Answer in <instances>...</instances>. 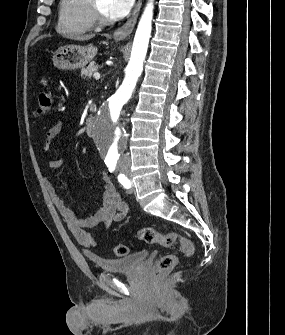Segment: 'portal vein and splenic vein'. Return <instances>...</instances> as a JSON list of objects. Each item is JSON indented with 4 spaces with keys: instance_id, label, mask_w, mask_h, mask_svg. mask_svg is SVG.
Wrapping results in <instances>:
<instances>
[{
    "instance_id": "1",
    "label": "portal vein and splenic vein",
    "mask_w": 285,
    "mask_h": 335,
    "mask_svg": "<svg viewBox=\"0 0 285 335\" xmlns=\"http://www.w3.org/2000/svg\"><path fill=\"white\" fill-rule=\"evenodd\" d=\"M93 78H95V80H99L100 74H98V72H95V74H93Z\"/></svg>"
}]
</instances>
